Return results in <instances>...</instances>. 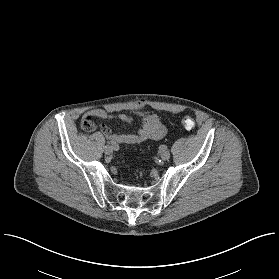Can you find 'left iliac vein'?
<instances>
[{"mask_svg": "<svg viewBox=\"0 0 279 279\" xmlns=\"http://www.w3.org/2000/svg\"><path fill=\"white\" fill-rule=\"evenodd\" d=\"M170 152L168 150H164L161 152V155H160V158L163 160V161H166L170 158Z\"/></svg>", "mask_w": 279, "mask_h": 279, "instance_id": "obj_1", "label": "left iliac vein"}]
</instances>
